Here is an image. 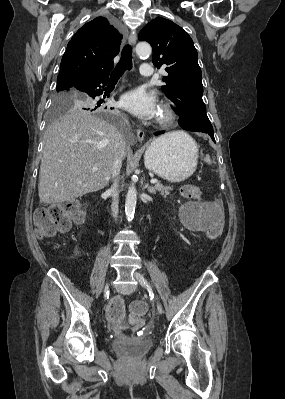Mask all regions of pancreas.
<instances>
[{
  "label": "pancreas",
  "instance_id": "obj_1",
  "mask_svg": "<svg viewBox=\"0 0 285 399\" xmlns=\"http://www.w3.org/2000/svg\"><path fill=\"white\" fill-rule=\"evenodd\" d=\"M154 189L155 191H159L163 196H167L169 194V191L172 190L170 186H164L161 183H156Z\"/></svg>",
  "mask_w": 285,
  "mask_h": 399
}]
</instances>
